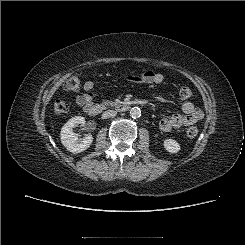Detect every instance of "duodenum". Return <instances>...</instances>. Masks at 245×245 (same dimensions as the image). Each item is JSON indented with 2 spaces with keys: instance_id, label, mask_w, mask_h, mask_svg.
<instances>
[{
  "instance_id": "410a0bca",
  "label": "duodenum",
  "mask_w": 245,
  "mask_h": 245,
  "mask_svg": "<svg viewBox=\"0 0 245 245\" xmlns=\"http://www.w3.org/2000/svg\"><path fill=\"white\" fill-rule=\"evenodd\" d=\"M131 106L129 104H118L115 107V110L120 113L129 111ZM87 113L90 116H97L103 111V107L99 104H91L86 108Z\"/></svg>"
}]
</instances>
